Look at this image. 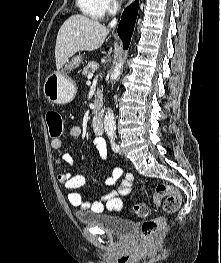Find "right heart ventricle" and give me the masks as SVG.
Returning <instances> with one entry per match:
<instances>
[{"instance_id": "obj_1", "label": "right heart ventricle", "mask_w": 221, "mask_h": 263, "mask_svg": "<svg viewBox=\"0 0 221 263\" xmlns=\"http://www.w3.org/2000/svg\"><path fill=\"white\" fill-rule=\"evenodd\" d=\"M77 5L84 15L92 19L100 20L104 16L101 0H77Z\"/></svg>"}]
</instances>
